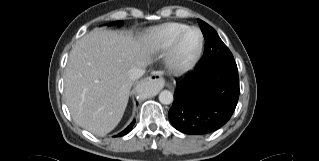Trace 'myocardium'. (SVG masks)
Masks as SVG:
<instances>
[{
	"instance_id": "1",
	"label": "myocardium",
	"mask_w": 319,
	"mask_h": 161,
	"mask_svg": "<svg viewBox=\"0 0 319 161\" xmlns=\"http://www.w3.org/2000/svg\"><path fill=\"white\" fill-rule=\"evenodd\" d=\"M191 30H196L199 32V35H200L199 45L197 47V50L195 51V53L191 57H189L186 60H181L178 57V46H179L181 39L184 37V35ZM203 44H204V35L199 27L190 26V27H187V28L181 30L174 37V39L172 40V42L168 48L166 60H167V64H168L169 68L173 72H176V73H182V72L189 70L198 60V58L201 54V51L203 49Z\"/></svg>"
}]
</instances>
